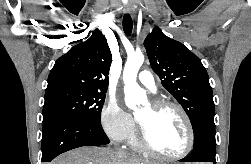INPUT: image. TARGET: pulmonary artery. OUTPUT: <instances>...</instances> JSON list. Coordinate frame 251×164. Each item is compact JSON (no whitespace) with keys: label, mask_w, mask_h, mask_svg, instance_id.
<instances>
[{"label":"pulmonary artery","mask_w":251,"mask_h":164,"mask_svg":"<svg viewBox=\"0 0 251 164\" xmlns=\"http://www.w3.org/2000/svg\"><path fill=\"white\" fill-rule=\"evenodd\" d=\"M138 81L151 92H156L155 81L153 75L149 71H141L138 75Z\"/></svg>","instance_id":"pulmonary-artery-1"}]
</instances>
